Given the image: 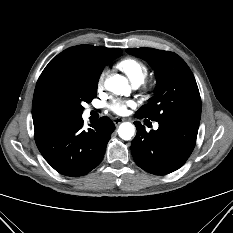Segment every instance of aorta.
I'll return each instance as SVG.
<instances>
[{
	"mask_svg": "<svg viewBox=\"0 0 233 233\" xmlns=\"http://www.w3.org/2000/svg\"><path fill=\"white\" fill-rule=\"evenodd\" d=\"M105 88L117 95H126L130 92L127 79L121 75H114L106 79ZM134 133L135 128L129 122L122 123L118 128V134L123 140H130Z\"/></svg>",
	"mask_w": 233,
	"mask_h": 233,
	"instance_id": "obj_1",
	"label": "aorta"
}]
</instances>
